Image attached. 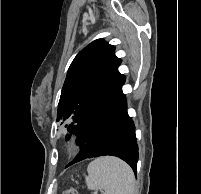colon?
Instances as JSON below:
<instances>
[{"label":"colon","instance_id":"colon-1","mask_svg":"<svg viewBox=\"0 0 201 194\" xmlns=\"http://www.w3.org/2000/svg\"><path fill=\"white\" fill-rule=\"evenodd\" d=\"M64 194H79L75 189H69Z\"/></svg>","mask_w":201,"mask_h":194}]
</instances>
